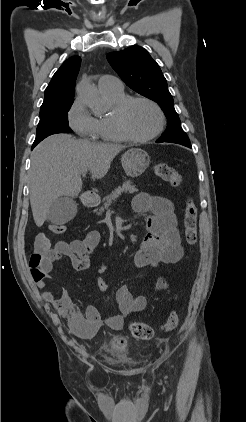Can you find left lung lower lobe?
<instances>
[{"mask_svg": "<svg viewBox=\"0 0 246 422\" xmlns=\"http://www.w3.org/2000/svg\"><path fill=\"white\" fill-rule=\"evenodd\" d=\"M157 143H158V142H157ZM184 146H187V147L191 148V144H186V145H184Z\"/></svg>", "mask_w": 246, "mask_h": 422, "instance_id": "left-lung-lower-lobe-1", "label": "left lung lower lobe"}]
</instances>
